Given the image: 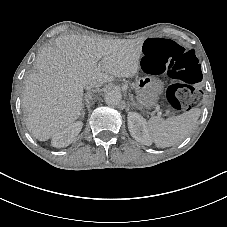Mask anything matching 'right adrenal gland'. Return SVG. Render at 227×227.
Returning a JSON list of instances; mask_svg holds the SVG:
<instances>
[{"instance_id":"2a0ac1e0","label":"right adrenal gland","mask_w":227,"mask_h":227,"mask_svg":"<svg viewBox=\"0 0 227 227\" xmlns=\"http://www.w3.org/2000/svg\"><path fill=\"white\" fill-rule=\"evenodd\" d=\"M84 115H85V113H84V111H82V113H81V120L84 118Z\"/></svg>"}]
</instances>
